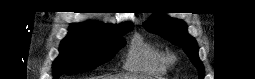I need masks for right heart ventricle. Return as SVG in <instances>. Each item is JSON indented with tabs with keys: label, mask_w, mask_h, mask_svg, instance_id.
Here are the masks:
<instances>
[{
	"label": "right heart ventricle",
	"mask_w": 255,
	"mask_h": 79,
	"mask_svg": "<svg viewBox=\"0 0 255 79\" xmlns=\"http://www.w3.org/2000/svg\"><path fill=\"white\" fill-rule=\"evenodd\" d=\"M165 54L141 35H135L127 51L124 69L152 75L166 73Z\"/></svg>",
	"instance_id": "1"
}]
</instances>
